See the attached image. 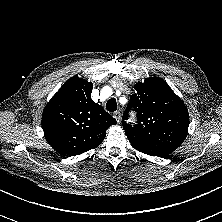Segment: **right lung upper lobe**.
<instances>
[{
    "label": "right lung upper lobe",
    "instance_id": "1",
    "mask_svg": "<svg viewBox=\"0 0 222 222\" xmlns=\"http://www.w3.org/2000/svg\"><path fill=\"white\" fill-rule=\"evenodd\" d=\"M93 84L74 76L46 105L42 127L47 142L60 154L76 156L98 147L116 120L91 99Z\"/></svg>",
    "mask_w": 222,
    "mask_h": 222
}]
</instances>
